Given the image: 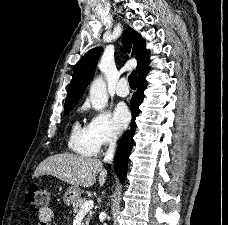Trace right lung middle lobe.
<instances>
[{"label": "right lung middle lobe", "instance_id": "1", "mask_svg": "<svg viewBox=\"0 0 228 225\" xmlns=\"http://www.w3.org/2000/svg\"><path fill=\"white\" fill-rule=\"evenodd\" d=\"M76 104H73V105H70V106H67V107H64V114H68L74 107H75Z\"/></svg>", "mask_w": 228, "mask_h": 225}]
</instances>
